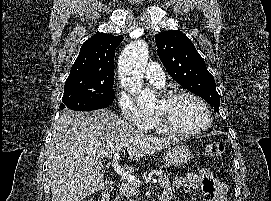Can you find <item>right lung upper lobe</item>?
<instances>
[{
    "label": "right lung upper lobe",
    "mask_w": 271,
    "mask_h": 201,
    "mask_svg": "<svg viewBox=\"0 0 271 201\" xmlns=\"http://www.w3.org/2000/svg\"><path fill=\"white\" fill-rule=\"evenodd\" d=\"M122 40L123 36L95 34L81 46L79 56L72 65L70 73L114 74L115 50Z\"/></svg>",
    "instance_id": "cb5924a9"
}]
</instances>
